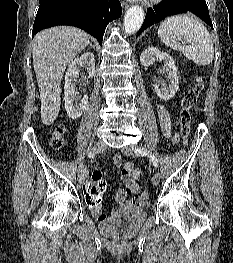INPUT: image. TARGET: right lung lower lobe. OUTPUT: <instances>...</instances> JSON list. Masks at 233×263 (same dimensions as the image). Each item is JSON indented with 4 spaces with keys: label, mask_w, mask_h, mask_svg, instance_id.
Here are the masks:
<instances>
[{
    "label": "right lung lower lobe",
    "mask_w": 233,
    "mask_h": 263,
    "mask_svg": "<svg viewBox=\"0 0 233 263\" xmlns=\"http://www.w3.org/2000/svg\"><path fill=\"white\" fill-rule=\"evenodd\" d=\"M121 14L119 0H50L39 6L32 37L45 28L71 25L87 31L102 44L107 24Z\"/></svg>",
    "instance_id": "right-lung-lower-lobe-1"
}]
</instances>
